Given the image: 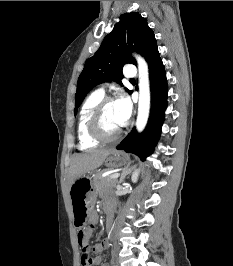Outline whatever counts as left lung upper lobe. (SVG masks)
Segmentation results:
<instances>
[{"instance_id":"left-lung-upper-lobe-1","label":"left lung upper lobe","mask_w":233,"mask_h":266,"mask_svg":"<svg viewBox=\"0 0 233 266\" xmlns=\"http://www.w3.org/2000/svg\"><path fill=\"white\" fill-rule=\"evenodd\" d=\"M156 46L154 32L145 18L137 12L121 15L120 21L105 37L99 50L85 63L78 79L74 112L96 85L109 80L122 84V67L127 63L136 65V60L130 56L131 52L146 57Z\"/></svg>"}]
</instances>
